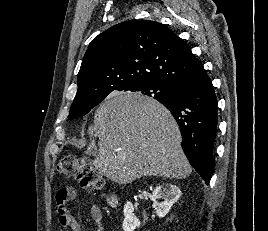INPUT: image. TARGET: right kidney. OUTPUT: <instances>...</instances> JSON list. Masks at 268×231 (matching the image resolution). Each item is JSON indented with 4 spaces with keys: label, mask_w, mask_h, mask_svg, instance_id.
<instances>
[{
    "label": "right kidney",
    "mask_w": 268,
    "mask_h": 231,
    "mask_svg": "<svg viewBox=\"0 0 268 231\" xmlns=\"http://www.w3.org/2000/svg\"><path fill=\"white\" fill-rule=\"evenodd\" d=\"M181 196L180 189L173 184L166 183L157 186L151 194V199L154 201L153 208L158 217H164L168 214L169 210L175 202ZM157 199H162L163 201L157 202ZM134 206L131 202H127L124 206V221L122 228L124 231H134L137 227L140 226V221L133 214Z\"/></svg>",
    "instance_id": "right-kidney-1"
}]
</instances>
